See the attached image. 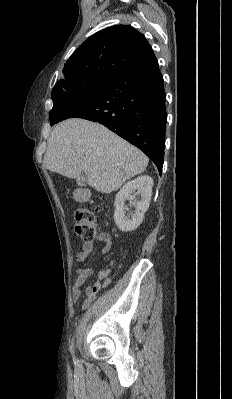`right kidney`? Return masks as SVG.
<instances>
[{"label":"right kidney","mask_w":232,"mask_h":399,"mask_svg":"<svg viewBox=\"0 0 232 399\" xmlns=\"http://www.w3.org/2000/svg\"><path fill=\"white\" fill-rule=\"evenodd\" d=\"M153 180L150 176H138L136 180H131L123 186L115 198L114 219L122 231H133L137 229L141 221L144 219V213L149 207L152 196ZM129 200L130 205H134L135 209L132 213L125 215V201Z\"/></svg>","instance_id":"1"}]
</instances>
